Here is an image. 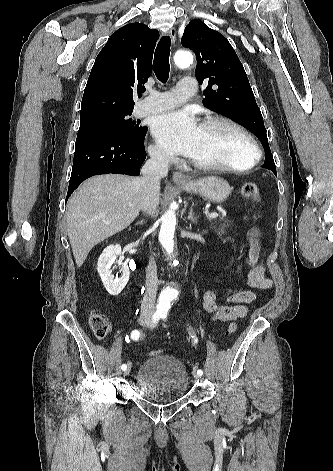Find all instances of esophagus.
<instances>
[{
	"label": "esophagus",
	"instance_id": "obj_1",
	"mask_svg": "<svg viewBox=\"0 0 333 471\" xmlns=\"http://www.w3.org/2000/svg\"><path fill=\"white\" fill-rule=\"evenodd\" d=\"M168 34L171 38V43L174 45L175 42H176V30H175V28L169 29ZM172 177H173V180L175 182H178V183H187V182H189V178L181 172H174Z\"/></svg>",
	"mask_w": 333,
	"mask_h": 471
}]
</instances>
